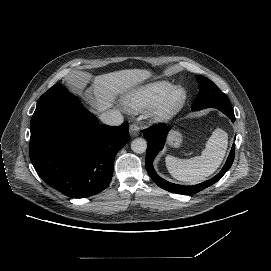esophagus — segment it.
I'll return each mask as SVG.
<instances>
[{
	"mask_svg": "<svg viewBox=\"0 0 271 271\" xmlns=\"http://www.w3.org/2000/svg\"><path fill=\"white\" fill-rule=\"evenodd\" d=\"M140 133V128L137 124H131L129 134L131 137H137Z\"/></svg>",
	"mask_w": 271,
	"mask_h": 271,
	"instance_id": "obj_1",
	"label": "esophagus"
}]
</instances>
